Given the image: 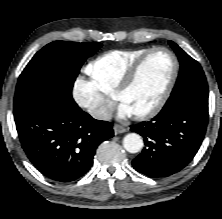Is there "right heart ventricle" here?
I'll return each mask as SVG.
<instances>
[{"label": "right heart ventricle", "instance_id": "1", "mask_svg": "<svg viewBox=\"0 0 222 219\" xmlns=\"http://www.w3.org/2000/svg\"><path fill=\"white\" fill-rule=\"evenodd\" d=\"M149 49L144 47L104 52L92 60L85 71L100 93L111 96L131 64Z\"/></svg>", "mask_w": 222, "mask_h": 219}]
</instances>
